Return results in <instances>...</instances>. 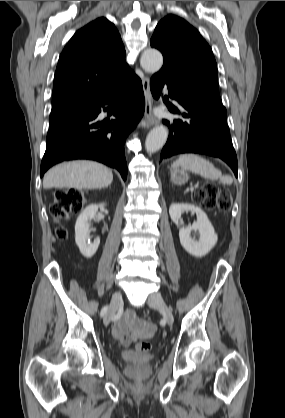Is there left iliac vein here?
Here are the masks:
<instances>
[{
  "mask_svg": "<svg viewBox=\"0 0 285 418\" xmlns=\"http://www.w3.org/2000/svg\"><path fill=\"white\" fill-rule=\"evenodd\" d=\"M148 305L150 307L158 309L168 325H172L174 318L171 309L167 306L166 302L162 298L161 294L153 293L148 298Z\"/></svg>",
  "mask_w": 285,
  "mask_h": 418,
  "instance_id": "4c4485c4",
  "label": "left iliac vein"
}]
</instances>
